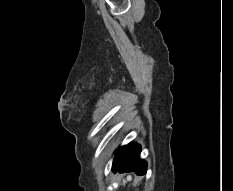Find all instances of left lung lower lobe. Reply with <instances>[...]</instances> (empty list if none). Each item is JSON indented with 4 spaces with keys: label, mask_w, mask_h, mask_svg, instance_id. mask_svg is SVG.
<instances>
[{
    "label": "left lung lower lobe",
    "mask_w": 233,
    "mask_h": 191,
    "mask_svg": "<svg viewBox=\"0 0 233 191\" xmlns=\"http://www.w3.org/2000/svg\"><path fill=\"white\" fill-rule=\"evenodd\" d=\"M141 147L129 143L116 151L112 168L119 172H135L138 175L146 173L147 164L140 158Z\"/></svg>",
    "instance_id": "1"
}]
</instances>
